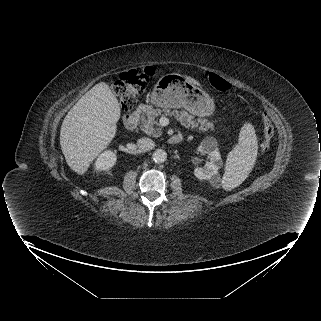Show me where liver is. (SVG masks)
I'll return each instance as SVG.
<instances>
[{
    "instance_id": "liver-1",
    "label": "liver",
    "mask_w": 321,
    "mask_h": 321,
    "mask_svg": "<svg viewBox=\"0 0 321 321\" xmlns=\"http://www.w3.org/2000/svg\"><path fill=\"white\" fill-rule=\"evenodd\" d=\"M193 84L199 83L189 77ZM121 109L105 82L96 84L65 116L60 145L68 166L83 175L95 158L111 143L117 132Z\"/></svg>"
}]
</instances>
